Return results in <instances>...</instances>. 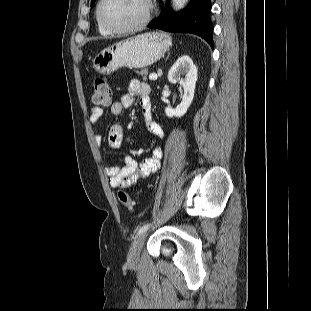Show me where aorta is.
<instances>
[{"label":"aorta","mask_w":311,"mask_h":311,"mask_svg":"<svg viewBox=\"0 0 311 311\" xmlns=\"http://www.w3.org/2000/svg\"><path fill=\"white\" fill-rule=\"evenodd\" d=\"M188 0H172L173 2V9L175 11H178L180 9H182L185 4L187 3Z\"/></svg>","instance_id":"obj_1"}]
</instances>
